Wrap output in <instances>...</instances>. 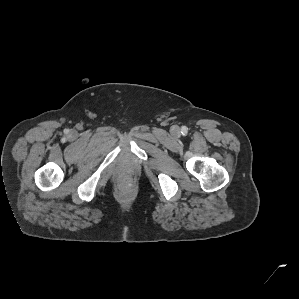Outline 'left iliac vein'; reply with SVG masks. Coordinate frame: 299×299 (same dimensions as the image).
Returning <instances> with one entry per match:
<instances>
[{"label":"left iliac vein","mask_w":299,"mask_h":299,"mask_svg":"<svg viewBox=\"0 0 299 299\" xmlns=\"http://www.w3.org/2000/svg\"><path fill=\"white\" fill-rule=\"evenodd\" d=\"M174 131H175V132H178V131H179V129H178L177 127H175V128H174Z\"/></svg>","instance_id":"1"}]
</instances>
